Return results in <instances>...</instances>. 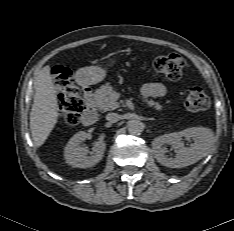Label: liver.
Here are the masks:
<instances>
[{
    "label": "liver",
    "mask_w": 234,
    "mask_h": 231,
    "mask_svg": "<svg viewBox=\"0 0 234 231\" xmlns=\"http://www.w3.org/2000/svg\"><path fill=\"white\" fill-rule=\"evenodd\" d=\"M59 106L49 66L42 68L35 81L30 129L36 147L44 144L57 123Z\"/></svg>",
    "instance_id": "1"
}]
</instances>
